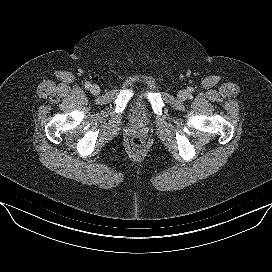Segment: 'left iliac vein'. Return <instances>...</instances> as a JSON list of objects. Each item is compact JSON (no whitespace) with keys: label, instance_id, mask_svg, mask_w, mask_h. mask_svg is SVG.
Instances as JSON below:
<instances>
[{"label":"left iliac vein","instance_id":"4c4485c4","mask_svg":"<svg viewBox=\"0 0 272 272\" xmlns=\"http://www.w3.org/2000/svg\"><path fill=\"white\" fill-rule=\"evenodd\" d=\"M188 97V92L186 90H180L178 93V98L180 100H185Z\"/></svg>","mask_w":272,"mask_h":272}]
</instances>
